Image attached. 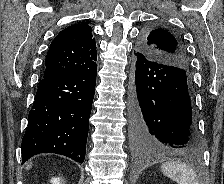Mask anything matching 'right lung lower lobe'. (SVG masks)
Wrapping results in <instances>:
<instances>
[{"label":"right lung lower lobe","instance_id":"1","mask_svg":"<svg viewBox=\"0 0 224 184\" xmlns=\"http://www.w3.org/2000/svg\"><path fill=\"white\" fill-rule=\"evenodd\" d=\"M97 64L62 76L43 78L22 139V163L40 153H56L83 163Z\"/></svg>","mask_w":224,"mask_h":184}]
</instances>
